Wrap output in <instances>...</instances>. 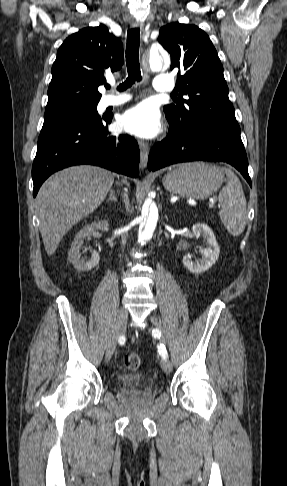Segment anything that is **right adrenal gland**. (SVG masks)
Here are the masks:
<instances>
[{"mask_svg": "<svg viewBox=\"0 0 287 486\" xmlns=\"http://www.w3.org/2000/svg\"><path fill=\"white\" fill-rule=\"evenodd\" d=\"M109 201H115V202L118 201L116 193L113 189H110V194H109V198L107 199V202Z\"/></svg>", "mask_w": 287, "mask_h": 486, "instance_id": "2a0ac1e0", "label": "right adrenal gland"}]
</instances>
